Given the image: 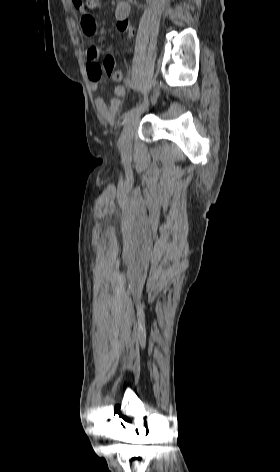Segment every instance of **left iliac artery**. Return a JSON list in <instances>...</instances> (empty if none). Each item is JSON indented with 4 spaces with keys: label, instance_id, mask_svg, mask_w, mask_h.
<instances>
[{
    "label": "left iliac artery",
    "instance_id": "1",
    "mask_svg": "<svg viewBox=\"0 0 280 472\" xmlns=\"http://www.w3.org/2000/svg\"><path fill=\"white\" fill-rule=\"evenodd\" d=\"M125 85L127 88L129 89H133L135 90V85L134 83L132 82V80L129 78V77H125ZM145 107V102L133 107L132 109H130L129 111H127L124 115H123V121L126 122L131 116H133L134 114L140 112L141 110H143Z\"/></svg>",
    "mask_w": 280,
    "mask_h": 472
}]
</instances>
